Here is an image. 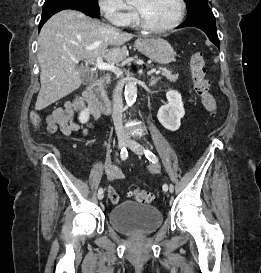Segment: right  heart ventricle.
<instances>
[{
    "instance_id": "1",
    "label": "right heart ventricle",
    "mask_w": 261,
    "mask_h": 273,
    "mask_svg": "<svg viewBox=\"0 0 261 273\" xmlns=\"http://www.w3.org/2000/svg\"><path fill=\"white\" fill-rule=\"evenodd\" d=\"M130 24H131V25H133V26H135V25H137V24H138L137 19H136V17H135V16H134V17L131 19Z\"/></svg>"
}]
</instances>
